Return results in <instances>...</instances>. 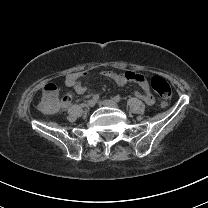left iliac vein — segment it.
Listing matches in <instances>:
<instances>
[{
  "instance_id": "obj_1",
  "label": "left iliac vein",
  "mask_w": 208,
  "mask_h": 208,
  "mask_svg": "<svg viewBox=\"0 0 208 208\" xmlns=\"http://www.w3.org/2000/svg\"><path fill=\"white\" fill-rule=\"evenodd\" d=\"M100 103L105 106L114 107V108H117L119 106L118 103L112 99H106V100L101 101Z\"/></svg>"
}]
</instances>
